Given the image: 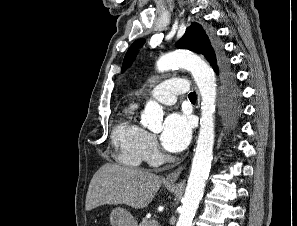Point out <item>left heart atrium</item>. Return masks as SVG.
<instances>
[{
	"label": "left heart atrium",
	"instance_id": "39dd6f15",
	"mask_svg": "<svg viewBox=\"0 0 297 226\" xmlns=\"http://www.w3.org/2000/svg\"><path fill=\"white\" fill-rule=\"evenodd\" d=\"M191 139V125L187 116L181 113H171L164 121L161 135L163 147L170 152L184 150Z\"/></svg>",
	"mask_w": 297,
	"mask_h": 226
}]
</instances>
